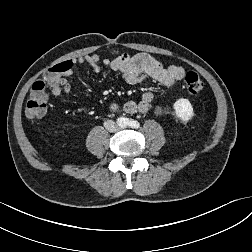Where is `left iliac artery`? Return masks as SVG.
Masks as SVG:
<instances>
[{"label": "left iliac artery", "mask_w": 252, "mask_h": 252, "mask_svg": "<svg viewBox=\"0 0 252 252\" xmlns=\"http://www.w3.org/2000/svg\"><path fill=\"white\" fill-rule=\"evenodd\" d=\"M129 126H130L131 128L137 129V128L140 127V124H139V122H137V121H135V120H131V121L129 122Z\"/></svg>", "instance_id": "obj_1"}]
</instances>
